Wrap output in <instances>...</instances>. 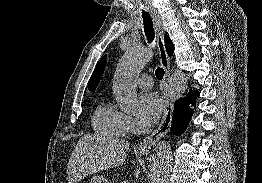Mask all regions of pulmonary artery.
Returning a JSON list of instances; mask_svg holds the SVG:
<instances>
[{"label":"pulmonary artery","instance_id":"obj_1","mask_svg":"<svg viewBox=\"0 0 262 183\" xmlns=\"http://www.w3.org/2000/svg\"><path fill=\"white\" fill-rule=\"evenodd\" d=\"M137 84L144 89H149L153 85V79L149 74H142L137 79Z\"/></svg>","mask_w":262,"mask_h":183}]
</instances>
